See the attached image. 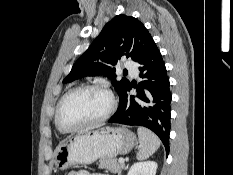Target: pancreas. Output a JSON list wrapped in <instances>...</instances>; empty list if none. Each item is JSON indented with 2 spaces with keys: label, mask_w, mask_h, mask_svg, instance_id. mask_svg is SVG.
Wrapping results in <instances>:
<instances>
[{
  "label": "pancreas",
  "mask_w": 233,
  "mask_h": 175,
  "mask_svg": "<svg viewBox=\"0 0 233 175\" xmlns=\"http://www.w3.org/2000/svg\"><path fill=\"white\" fill-rule=\"evenodd\" d=\"M98 163L100 169H107L112 173H118V175H121V172L124 169V165L119 163L115 158L100 159Z\"/></svg>",
  "instance_id": "1"
}]
</instances>
